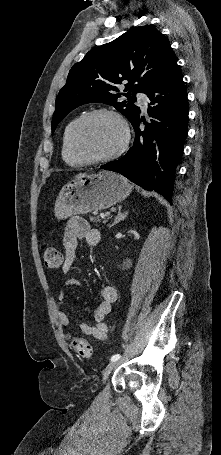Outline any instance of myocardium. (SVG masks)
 <instances>
[{
  "label": "myocardium",
  "instance_id": "1",
  "mask_svg": "<svg viewBox=\"0 0 221 455\" xmlns=\"http://www.w3.org/2000/svg\"><path fill=\"white\" fill-rule=\"evenodd\" d=\"M99 115H109L114 117L121 125L123 131V141L121 145L112 153L102 156V157H89L87 156L84 151L81 149L79 145V133L82 125L92 117L99 116ZM131 141V131L129 124L125 117L118 111L111 109V108H98L90 110L83 115H81L75 122L72 133H71V142L72 147L76 155L81 158L86 164H98V163H106L116 159L117 157L121 156L129 147Z\"/></svg>",
  "mask_w": 221,
  "mask_h": 455
}]
</instances>
